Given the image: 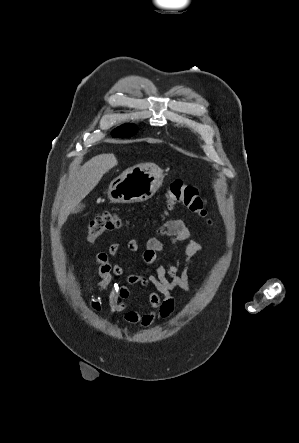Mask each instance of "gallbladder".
<instances>
[{
	"mask_svg": "<svg viewBox=\"0 0 299 443\" xmlns=\"http://www.w3.org/2000/svg\"><path fill=\"white\" fill-rule=\"evenodd\" d=\"M84 207H85L84 204L79 203L77 206L74 207V209L72 210L71 213H74V214L79 213L83 210Z\"/></svg>",
	"mask_w": 299,
	"mask_h": 443,
	"instance_id": "bac80fb5",
	"label": "gallbladder"
}]
</instances>
